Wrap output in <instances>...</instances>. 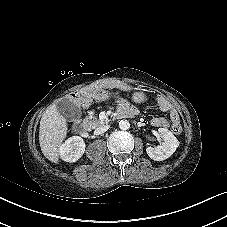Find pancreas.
<instances>
[{
    "instance_id": "1",
    "label": "pancreas",
    "mask_w": 227,
    "mask_h": 227,
    "mask_svg": "<svg viewBox=\"0 0 227 227\" xmlns=\"http://www.w3.org/2000/svg\"><path fill=\"white\" fill-rule=\"evenodd\" d=\"M86 119H87L89 125H90L92 128L104 124V122L99 121V120H96L95 117H93V118H86Z\"/></svg>"
}]
</instances>
